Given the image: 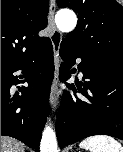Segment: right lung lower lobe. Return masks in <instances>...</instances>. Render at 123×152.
Listing matches in <instances>:
<instances>
[{"mask_svg":"<svg viewBox=\"0 0 123 152\" xmlns=\"http://www.w3.org/2000/svg\"><path fill=\"white\" fill-rule=\"evenodd\" d=\"M22 70L28 87L12 94L21 83L13 73ZM54 75L50 39L40 50L18 64H1V135L16 138L39 152L41 132L49 110V93Z\"/></svg>","mask_w":123,"mask_h":152,"instance_id":"obj_1","label":"right lung lower lobe"}]
</instances>
